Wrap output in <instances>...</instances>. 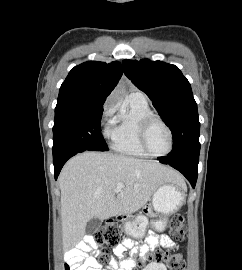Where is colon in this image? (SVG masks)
Here are the masks:
<instances>
[{
	"label": "colon",
	"mask_w": 242,
	"mask_h": 270,
	"mask_svg": "<svg viewBox=\"0 0 242 270\" xmlns=\"http://www.w3.org/2000/svg\"><path fill=\"white\" fill-rule=\"evenodd\" d=\"M169 234L176 242H183L185 240L186 230L184 213L178 212L171 217L169 222ZM92 239L98 246L113 247L119 244L121 240V232L116 223L109 221L93 234ZM152 258L159 262H165L169 270H186L185 262L182 256L178 253L158 249L154 251ZM99 261L101 263H105L107 261L105 254L100 256ZM146 261L147 257L142 258L139 265H143ZM64 269L72 270L68 263H65Z\"/></svg>",
	"instance_id": "colon-1"
}]
</instances>
